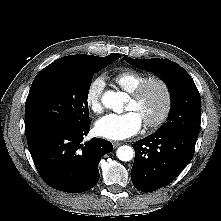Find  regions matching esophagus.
<instances>
[{
	"label": "esophagus",
	"instance_id": "obj_1",
	"mask_svg": "<svg viewBox=\"0 0 221 221\" xmlns=\"http://www.w3.org/2000/svg\"><path fill=\"white\" fill-rule=\"evenodd\" d=\"M121 144H122V142H118V141L115 142V141H114V142H113V147H114V148H117V147H119Z\"/></svg>",
	"mask_w": 221,
	"mask_h": 221
}]
</instances>
